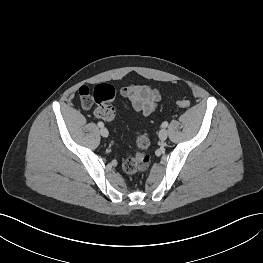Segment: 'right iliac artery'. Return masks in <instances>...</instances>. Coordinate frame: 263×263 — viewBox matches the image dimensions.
<instances>
[{
	"instance_id": "82829eb1",
	"label": "right iliac artery",
	"mask_w": 263,
	"mask_h": 263,
	"mask_svg": "<svg viewBox=\"0 0 263 263\" xmlns=\"http://www.w3.org/2000/svg\"><path fill=\"white\" fill-rule=\"evenodd\" d=\"M98 126L102 128V127H104V123L103 122H98Z\"/></svg>"
}]
</instances>
